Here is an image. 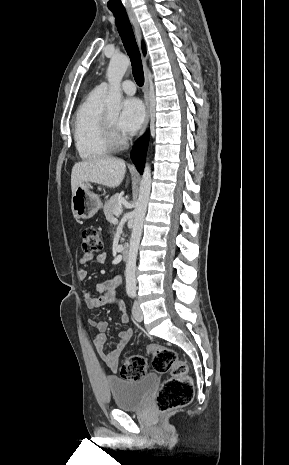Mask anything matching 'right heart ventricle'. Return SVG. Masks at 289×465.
I'll return each instance as SVG.
<instances>
[{"label":"right heart ventricle","instance_id":"1","mask_svg":"<svg viewBox=\"0 0 289 465\" xmlns=\"http://www.w3.org/2000/svg\"><path fill=\"white\" fill-rule=\"evenodd\" d=\"M105 92L95 88L79 106L73 125L75 147L84 161L100 159L111 152L103 135V117L105 110L103 98Z\"/></svg>","mask_w":289,"mask_h":465}]
</instances>
